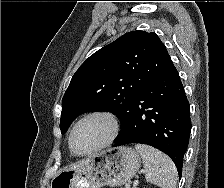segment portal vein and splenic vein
Returning a JSON list of instances; mask_svg holds the SVG:
<instances>
[{
  "label": "portal vein and splenic vein",
  "instance_id": "1",
  "mask_svg": "<svg viewBox=\"0 0 224 188\" xmlns=\"http://www.w3.org/2000/svg\"><path fill=\"white\" fill-rule=\"evenodd\" d=\"M138 184V180H136L135 182H134V186H136ZM126 188H130V185L129 184H126Z\"/></svg>",
  "mask_w": 224,
  "mask_h": 188
}]
</instances>
